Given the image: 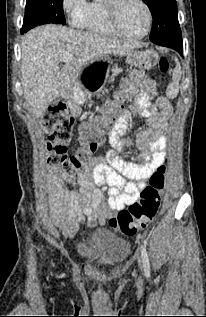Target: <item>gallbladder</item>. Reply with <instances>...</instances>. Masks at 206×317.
Returning a JSON list of instances; mask_svg holds the SVG:
<instances>
[{"mask_svg":"<svg viewBox=\"0 0 206 317\" xmlns=\"http://www.w3.org/2000/svg\"><path fill=\"white\" fill-rule=\"evenodd\" d=\"M58 101H60V99H56L55 101H53V104L57 103Z\"/></svg>","mask_w":206,"mask_h":317,"instance_id":"obj_1","label":"gallbladder"}]
</instances>
